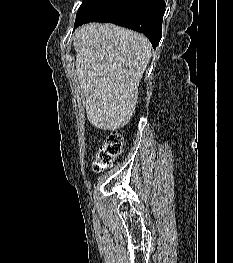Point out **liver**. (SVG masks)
I'll use <instances>...</instances> for the list:
<instances>
[{
    "label": "liver",
    "instance_id": "liver-1",
    "mask_svg": "<svg viewBox=\"0 0 233 263\" xmlns=\"http://www.w3.org/2000/svg\"><path fill=\"white\" fill-rule=\"evenodd\" d=\"M73 44L87 119L102 130L125 126L152 57L150 41L114 24L90 23L76 30Z\"/></svg>",
    "mask_w": 233,
    "mask_h": 263
}]
</instances>
